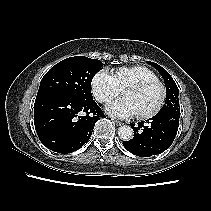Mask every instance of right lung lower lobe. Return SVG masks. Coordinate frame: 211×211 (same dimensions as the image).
I'll return each instance as SVG.
<instances>
[{
  "label": "right lung lower lobe",
  "instance_id": "98d812e1",
  "mask_svg": "<svg viewBox=\"0 0 211 211\" xmlns=\"http://www.w3.org/2000/svg\"><path fill=\"white\" fill-rule=\"evenodd\" d=\"M101 117L105 116L93 99L48 97L36 99L34 104L37 135L42 144L58 153L81 148Z\"/></svg>",
  "mask_w": 211,
  "mask_h": 211
}]
</instances>
